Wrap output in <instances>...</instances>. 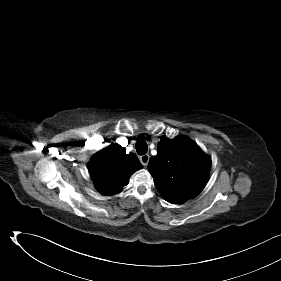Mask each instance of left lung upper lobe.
Here are the masks:
<instances>
[{"instance_id":"1","label":"left lung upper lobe","mask_w":281,"mask_h":281,"mask_svg":"<svg viewBox=\"0 0 281 281\" xmlns=\"http://www.w3.org/2000/svg\"><path fill=\"white\" fill-rule=\"evenodd\" d=\"M210 168L211 159L183 135L162 138L157 155L151 157L148 164L155 186L172 204L196 197L207 183Z\"/></svg>"}]
</instances>
